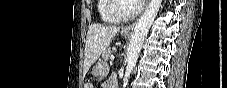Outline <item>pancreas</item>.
<instances>
[{"mask_svg": "<svg viewBox=\"0 0 227 88\" xmlns=\"http://www.w3.org/2000/svg\"><path fill=\"white\" fill-rule=\"evenodd\" d=\"M111 55H112V50L108 48L102 53V58L107 61L110 59Z\"/></svg>", "mask_w": 227, "mask_h": 88, "instance_id": "obj_1", "label": "pancreas"}]
</instances>
